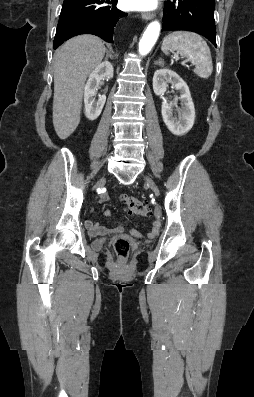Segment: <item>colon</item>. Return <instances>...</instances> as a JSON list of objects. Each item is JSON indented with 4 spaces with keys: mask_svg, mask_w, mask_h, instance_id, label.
I'll return each mask as SVG.
<instances>
[{
    "mask_svg": "<svg viewBox=\"0 0 254 397\" xmlns=\"http://www.w3.org/2000/svg\"><path fill=\"white\" fill-rule=\"evenodd\" d=\"M119 197L121 202L126 206L130 213L139 216H149L151 214V209L146 202L126 193L120 194ZM113 246L118 256L122 258L128 256L130 251V244L127 239L122 237L116 238L114 240Z\"/></svg>",
    "mask_w": 254,
    "mask_h": 397,
    "instance_id": "1",
    "label": "colon"
}]
</instances>
